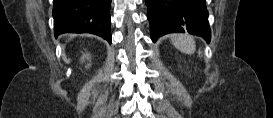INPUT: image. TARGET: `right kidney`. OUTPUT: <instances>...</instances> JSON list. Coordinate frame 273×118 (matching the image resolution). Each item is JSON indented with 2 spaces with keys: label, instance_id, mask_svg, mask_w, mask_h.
I'll return each instance as SVG.
<instances>
[{
  "label": "right kidney",
  "instance_id": "1",
  "mask_svg": "<svg viewBox=\"0 0 273 118\" xmlns=\"http://www.w3.org/2000/svg\"><path fill=\"white\" fill-rule=\"evenodd\" d=\"M84 58H87V59H89V55L87 54V55H84L83 57H82V60H84ZM89 66V65H88Z\"/></svg>",
  "mask_w": 273,
  "mask_h": 118
}]
</instances>
